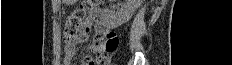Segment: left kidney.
Listing matches in <instances>:
<instances>
[{"label":"left kidney","instance_id":"5707ae66","mask_svg":"<svg viewBox=\"0 0 232 65\" xmlns=\"http://www.w3.org/2000/svg\"><path fill=\"white\" fill-rule=\"evenodd\" d=\"M140 3L141 0H125V3L117 11L114 9H105L102 14L104 24L110 29L122 25L133 16Z\"/></svg>","mask_w":232,"mask_h":65}]
</instances>
